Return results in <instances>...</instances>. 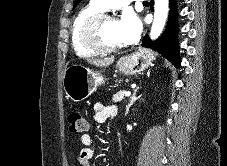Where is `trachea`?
<instances>
[{"label":"trachea","mask_w":227,"mask_h":166,"mask_svg":"<svg viewBox=\"0 0 227 166\" xmlns=\"http://www.w3.org/2000/svg\"><path fill=\"white\" fill-rule=\"evenodd\" d=\"M143 3H144V4H149V2H148V1H144Z\"/></svg>","instance_id":"obj_1"}]
</instances>
